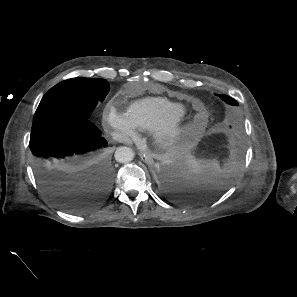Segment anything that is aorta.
<instances>
[{
  "instance_id": "762f6f07",
  "label": "aorta",
  "mask_w": 297,
  "mask_h": 297,
  "mask_svg": "<svg viewBox=\"0 0 297 297\" xmlns=\"http://www.w3.org/2000/svg\"><path fill=\"white\" fill-rule=\"evenodd\" d=\"M134 158V152L129 147H119L115 152V159L120 163H128Z\"/></svg>"
}]
</instances>
